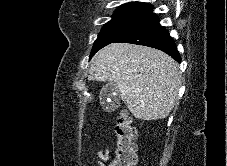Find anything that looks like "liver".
<instances>
[{
    "label": "liver",
    "instance_id": "1",
    "mask_svg": "<svg viewBox=\"0 0 227 166\" xmlns=\"http://www.w3.org/2000/svg\"><path fill=\"white\" fill-rule=\"evenodd\" d=\"M89 80L113 82L132 115L140 120L166 118L178 97L179 68L166 53L145 46L114 43L92 58Z\"/></svg>",
    "mask_w": 227,
    "mask_h": 166
}]
</instances>
